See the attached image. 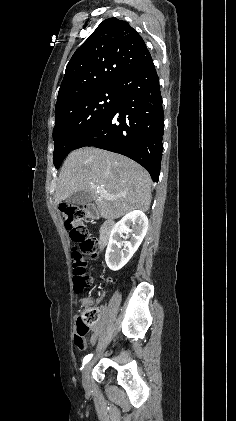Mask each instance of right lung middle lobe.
Instances as JSON below:
<instances>
[{
    "instance_id": "dd1d6c3e",
    "label": "right lung middle lobe",
    "mask_w": 236,
    "mask_h": 421,
    "mask_svg": "<svg viewBox=\"0 0 236 421\" xmlns=\"http://www.w3.org/2000/svg\"><path fill=\"white\" fill-rule=\"evenodd\" d=\"M118 100L117 87L72 98L55 109L53 162L58 169L76 144L103 122Z\"/></svg>"
}]
</instances>
